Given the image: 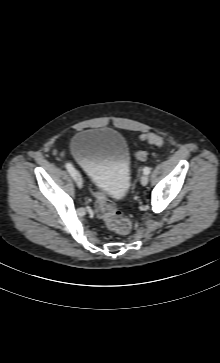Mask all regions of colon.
<instances>
[{"label": "colon", "instance_id": "5ec220e1", "mask_svg": "<svg viewBox=\"0 0 220 363\" xmlns=\"http://www.w3.org/2000/svg\"><path fill=\"white\" fill-rule=\"evenodd\" d=\"M142 137L154 145H161L163 143V139L154 133L143 134ZM135 158L139 161H144L146 159V153L139 150L135 153ZM95 211L112 231L119 234H126L131 230V221L119 212L105 195L99 192L95 193Z\"/></svg>", "mask_w": 220, "mask_h": 363}]
</instances>
